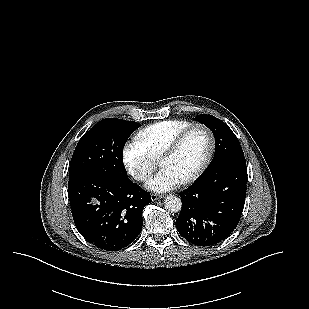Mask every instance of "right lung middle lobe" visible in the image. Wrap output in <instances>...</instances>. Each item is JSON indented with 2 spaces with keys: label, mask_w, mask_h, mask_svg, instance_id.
I'll return each mask as SVG.
<instances>
[{
  "label": "right lung middle lobe",
  "mask_w": 309,
  "mask_h": 309,
  "mask_svg": "<svg viewBox=\"0 0 309 309\" xmlns=\"http://www.w3.org/2000/svg\"><path fill=\"white\" fill-rule=\"evenodd\" d=\"M137 122L106 118L95 124L78 142L73 153L69 180L86 173H99L126 181L123 148Z\"/></svg>",
  "instance_id": "1"
}]
</instances>
